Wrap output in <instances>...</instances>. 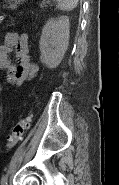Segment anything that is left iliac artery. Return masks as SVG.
<instances>
[{
	"label": "left iliac artery",
	"mask_w": 119,
	"mask_h": 185,
	"mask_svg": "<svg viewBox=\"0 0 119 185\" xmlns=\"http://www.w3.org/2000/svg\"><path fill=\"white\" fill-rule=\"evenodd\" d=\"M7 174L3 175L2 179H1V185H7Z\"/></svg>",
	"instance_id": "left-iliac-artery-1"
}]
</instances>
